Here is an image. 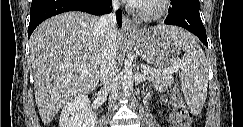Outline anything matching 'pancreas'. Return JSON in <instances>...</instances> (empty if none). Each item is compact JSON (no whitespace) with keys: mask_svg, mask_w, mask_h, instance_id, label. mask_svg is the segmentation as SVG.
<instances>
[{"mask_svg":"<svg viewBox=\"0 0 243 127\" xmlns=\"http://www.w3.org/2000/svg\"><path fill=\"white\" fill-rule=\"evenodd\" d=\"M146 69L149 71L148 74H146L147 79L152 82L156 89L165 90L171 86L174 81L170 75L163 74L155 68L147 66Z\"/></svg>","mask_w":243,"mask_h":127,"instance_id":"pancreas-1","label":"pancreas"}]
</instances>
